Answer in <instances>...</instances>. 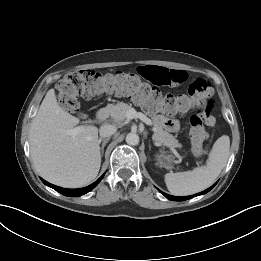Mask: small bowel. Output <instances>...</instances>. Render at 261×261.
Returning a JSON list of instances; mask_svg holds the SVG:
<instances>
[{"label":"small bowel","instance_id":"c3829d8e","mask_svg":"<svg viewBox=\"0 0 261 261\" xmlns=\"http://www.w3.org/2000/svg\"><path fill=\"white\" fill-rule=\"evenodd\" d=\"M140 74L155 85L175 86L185 82L188 75L183 70H173L160 66H142ZM154 121L165 130L175 132L178 130V122L163 115H155Z\"/></svg>","mask_w":261,"mask_h":261}]
</instances>
